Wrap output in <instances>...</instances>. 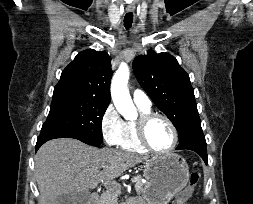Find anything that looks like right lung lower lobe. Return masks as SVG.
<instances>
[{
    "label": "right lung lower lobe",
    "mask_w": 253,
    "mask_h": 204,
    "mask_svg": "<svg viewBox=\"0 0 253 204\" xmlns=\"http://www.w3.org/2000/svg\"><path fill=\"white\" fill-rule=\"evenodd\" d=\"M54 138H65V136L54 133H41L36 143V151L43 143Z\"/></svg>",
    "instance_id": "obj_1"
}]
</instances>
